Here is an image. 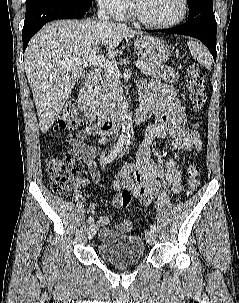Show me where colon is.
I'll return each instance as SVG.
<instances>
[{"label":"colon","mask_w":239,"mask_h":303,"mask_svg":"<svg viewBox=\"0 0 239 303\" xmlns=\"http://www.w3.org/2000/svg\"><path fill=\"white\" fill-rule=\"evenodd\" d=\"M186 85L191 108L194 113H198L206 102L205 78L198 65L190 64L187 68ZM78 123V105L74 100H70L64 106L58 120V126L61 130L70 132ZM44 167L50 177V186L54 193L66 196L76 195L78 186L77 177L81 169V163L78 159L71 156L50 157L45 161ZM198 174V167L193 163L189 164L187 167V194H190L198 187ZM119 198L122 207L125 208L130 205L131 193L129 191H123Z\"/></svg>","instance_id":"5ec220e1"}]
</instances>
